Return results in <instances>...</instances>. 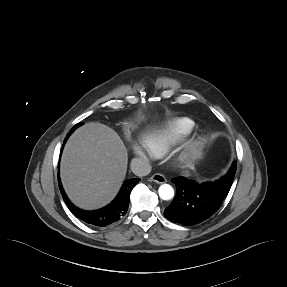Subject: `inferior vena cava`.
Here are the masks:
<instances>
[{"label": "inferior vena cava", "instance_id": "1", "mask_svg": "<svg viewBox=\"0 0 287 287\" xmlns=\"http://www.w3.org/2000/svg\"><path fill=\"white\" fill-rule=\"evenodd\" d=\"M130 166L132 172L139 177L148 175L152 169L151 165L147 161L140 158L132 159Z\"/></svg>", "mask_w": 287, "mask_h": 287}]
</instances>
